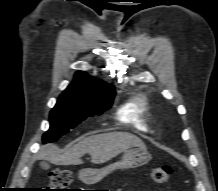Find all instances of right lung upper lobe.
<instances>
[{"instance_id": "cb5924a9", "label": "right lung upper lobe", "mask_w": 218, "mask_h": 191, "mask_svg": "<svg viewBox=\"0 0 218 191\" xmlns=\"http://www.w3.org/2000/svg\"><path fill=\"white\" fill-rule=\"evenodd\" d=\"M63 93L84 98L107 99L114 97L115 88L79 71L75 74L73 83Z\"/></svg>"}]
</instances>
